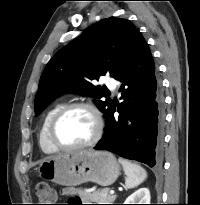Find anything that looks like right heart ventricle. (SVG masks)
Here are the masks:
<instances>
[{
  "label": "right heart ventricle",
  "instance_id": "obj_1",
  "mask_svg": "<svg viewBox=\"0 0 200 205\" xmlns=\"http://www.w3.org/2000/svg\"><path fill=\"white\" fill-rule=\"evenodd\" d=\"M64 104L62 103H57L53 107H51L43 120L40 132H39V144L41 149L45 153H55L57 149L51 144L49 137H48V129L50 122L53 118V116L56 114V112L63 106Z\"/></svg>",
  "mask_w": 200,
  "mask_h": 205
}]
</instances>
